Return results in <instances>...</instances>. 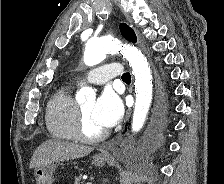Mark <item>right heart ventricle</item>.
<instances>
[{"mask_svg": "<svg viewBox=\"0 0 224 184\" xmlns=\"http://www.w3.org/2000/svg\"><path fill=\"white\" fill-rule=\"evenodd\" d=\"M77 103L71 88L62 87L55 91L46 105L45 121L49 133L57 139L74 141Z\"/></svg>", "mask_w": 224, "mask_h": 184, "instance_id": "e07e8e85", "label": "right heart ventricle"}]
</instances>
